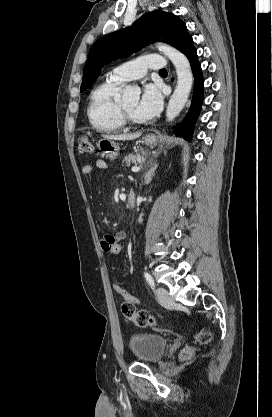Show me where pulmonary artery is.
Masks as SVG:
<instances>
[{
    "instance_id": "pulmonary-artery-1",
    "label": "pulmonary artery",
    "mask_w": 272,
    "mask_h": 417,
    "mask_svg": "<svg viewBox=\"0 0 272 417\" xmlns=\"http://www.w3.org/2000/svg\"><path fill=\"white\" fill-rule=\"evenodd\" d=\"M165 66L166 60L161 55L149 54L114 68L109 77L123 84L142 78L148 70H161Z\"/></svg>"
}]
</instances>
